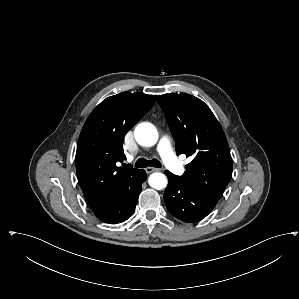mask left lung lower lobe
<instances>
[{
    "label": "left lung lower lobe",
    "instance_id": "obj_1",
    "mask_svg": "<svg viewBox=\"0 0 299 299\" xmlns=\"http://www.w3.org/2000/svg\"><path fill=\"white\" fill-rule=\"evenodd\" d=\"M165 173L169 182L165 189L164 201L174 217L191 223L205 218L213 210L217 202L184 184L169 171L166 170Z\"/></svg>",
    "mask_w": 299,
    "mask_h": 299
}]
</instances>
